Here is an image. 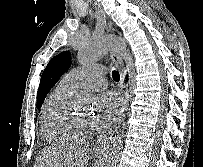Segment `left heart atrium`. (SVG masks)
<instances>
[{
	"instance_id": "obj_1",
	"label": "left heart atrium",
	"mask_w": 203,
	"mask_h": 167,
	"mask_svg": "<svg viewBox=\"0 0 203 167\" xmlns=\"http://www.w3.org/2000/svg\"><path fill=\"white\" fill-rule=\"evenodd\" d=\"M122 109V100L114 91L103 92L97 103V114L93 118V125L96 128L109 126L118 117Z\"/></svg>"
}]
</instances>
